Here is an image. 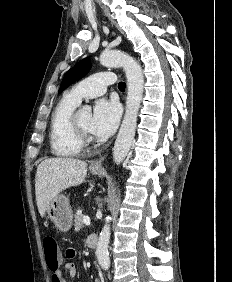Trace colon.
Wrapping results in <instances>:
<instances>
[{"label":"colon","instance_id":"5ec220e1","mask_svg":"<svg viewBox=\"0 0 232 282\" xmlns=\"http://www.w3.org/2000/svg\"><path fill=\"white\" fill-rule=\"evenodd\" d=\"M42 243L47 267L54 272L59 269L62 262L57 240L52 236H45Z\"/></svg>","mask_w":232,"mask_h":282}]
</instances>
